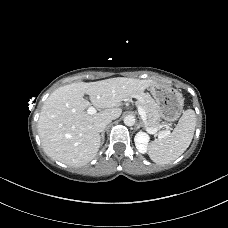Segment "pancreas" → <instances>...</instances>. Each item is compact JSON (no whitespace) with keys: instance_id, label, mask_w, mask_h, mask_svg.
<instances>
[{"instance_id":"pancreas-1","label":"pancreas","mask_w":228,"mask_h":228,"mask_svg":"<svg viewBox=\"0 0 228 228\" xmlns=\"http://www.w3.org/2000/svg\"><path fill=\"white\" fill-rule=\"evenodd\" d=\"M139 106H141L146 113V124L150 129H159L160 115L156 109L155 103L149 99L146 95H142V99L138 101Z\"/></svg>"}]
</instances>
